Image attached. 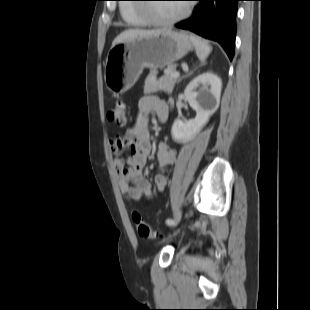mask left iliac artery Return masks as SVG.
<instances>
[{
	"mask_svg": "<svg viewBox=\"0 0 310 310\" xmlns=\"http://www.w3.org/2000/svg\"><path fill=\"white\" fill-rule=\"evenodd\" d=\"M166 223H167L168 225H172V224H173V219L168 218V219L166 220Z\"/></svg>",
	"mask_w": 310,
	"mask_h": 310,
	"instance_id": "obj_1",
	"label": "left iliac artery"
}]
</instances>
